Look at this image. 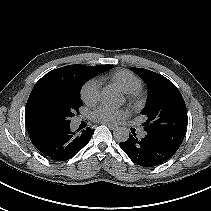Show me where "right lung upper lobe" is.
Segmentation results:
<instances>
[{
  "label": "right lung upper lobe",
  "instance_id": "cb5924a9",
  "mask_svg": "<svg viewBox=\"0 0 211 211\" xmlns=\"http://www.w3.org/2000/svg\"><path fill=\"white\" fill-rule=\"evenodd\" d=\"M111 65L85 66V65H68L54 69L45 74L34 86L28 98L26 106L38 94L45 91H57L72 86L77 79L84 77L90 71H106ZM25 123L29 133H32L29 125L27 111L25 109Z\"/></svg>",
  "mask_w": 211,
  "mask_h": 211
}]
</instances>
